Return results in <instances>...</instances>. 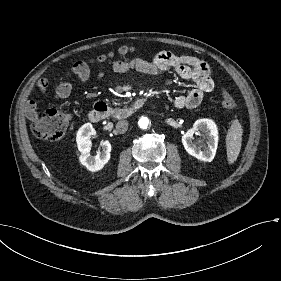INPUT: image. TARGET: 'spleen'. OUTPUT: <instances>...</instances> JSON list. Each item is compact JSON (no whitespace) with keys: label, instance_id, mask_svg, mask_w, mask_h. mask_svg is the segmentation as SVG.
<instances>
[{"label":"spleen","instance_id":"spleen-1","mask_svg":"<svg viewBox=\"0 0 281 281\" xmlns=\"http://www.w3.org/2000/svg\"><path fill=\"white\" fill-rule=\"evenodd\" d=\"M243 129L239 119H234L226 132L225 145L227 162L229 165L234 164L240 154L242 147Z\"/></svg>","mask_w":281,"mask_h":281}]
</instances>
